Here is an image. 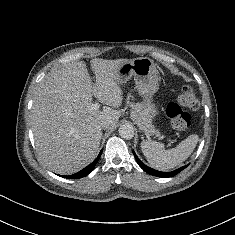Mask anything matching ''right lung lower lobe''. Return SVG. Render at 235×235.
Listing matches in <instances>:
<instances>
[{
    "label": "right lung lower lobe",
    "mask_w": 235,
    "mask_h": 235,
    "mask_svg": "<svg viewBox=\"0 0 235 235\" xmlns=\"http://www.w3.org/2000/svg\"><path fill=\"white\" fill-rule=\"evenodd\" d=\"M101 154H102V150L99 153V155L97 156V158L91 164H89L87 167H85L84 169H82L78 173H75L73 175H68V176H62V177L69 178V179H77V178H82V177L88 175L96 166Z\"/></svg>",
    "instance_id": "right-lung-lower-lobe-1"
}]
</instances>
